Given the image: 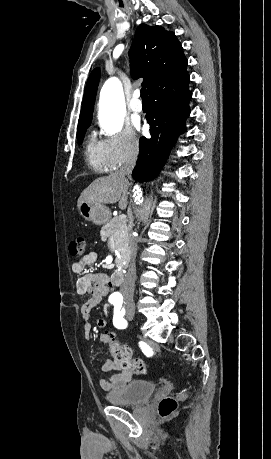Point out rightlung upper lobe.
Listing matches in <instances>:
<instances>
[{"mask_svg": "<svg viewBox=\"0 0 271 459\" xmlns=\"http://www.w3.org/2000/svg\"><path fill=\"white\" fill-rule=\"evenodd\" d=\"M129 57L132 78L143 77L142 85L148 94L163 81L186 71L187 59L180 42L173 32L160 26L139 25ZM99 77L100 72L95 69L87 80L79 121L92 119Z\"/></svg>", "mask_w": 271, "mask_h": 459, "instance_id": "cb5924a9", "label": "right lung upper lobe"}]
</instances>
